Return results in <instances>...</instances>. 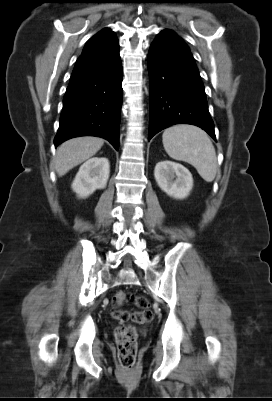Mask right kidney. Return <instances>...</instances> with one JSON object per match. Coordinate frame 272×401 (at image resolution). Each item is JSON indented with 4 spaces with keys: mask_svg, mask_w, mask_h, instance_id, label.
<instances>
[{
    "mask_svg": "<svg viewBox=\"0 0 272 401\" xmlns=\"http://www.w3.org/2000/svg\"><path fill=\"white\" fill-rule=\"evenodd\" d=\"M110 173V164L105 157H93L79 169L71 185L80 198H86L96 189H104Z\"/></svg>",
    "mask_w": 272,
    "mask_h": 401,
    "instance_id": "obj_1",
    "label": "right kidney"
}]
</instances>
